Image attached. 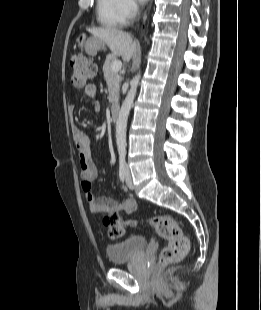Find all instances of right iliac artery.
I'll list each match as a JSON object with an SVG mask.
<instances>
[{"label":"right iliac artery","mask_w":261,"mask_h":310,"mask_svg":"<svg viewBox=\"0 0 261 310\" xmlns=\"http://www.w3.org/2000/svg\"><path fill=\"white\" fill-rule=\"evenodd\" d=\"M119 178L122 182H124L126 179V166L124 157H120L119 159Z\"/></svg>","instance_id":"right-iliac-artery-1"}]
</instances>
